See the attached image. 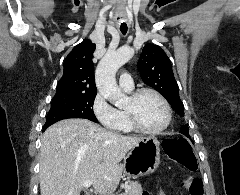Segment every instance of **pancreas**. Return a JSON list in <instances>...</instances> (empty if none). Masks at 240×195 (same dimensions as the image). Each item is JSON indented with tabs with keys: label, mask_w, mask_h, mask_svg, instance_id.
Masks as SVG:
<instances>
[{
	"label": "pancreas",
	"mask_w": 240,
	"mask_h": 195,
	"mask_svg": "<svg viewBox=\"0 0 240 195\" xmlns=\"http://www.w3.org/2000/svg\"><path fill=\"white\" fill-rule=\"evenodd\" d=\"M130 189H127L125 193H119V195H141L142 185L138 181H129L128 183Z\"/></svg>",
	"instance_id": "obj_1"
}]
</instances>
